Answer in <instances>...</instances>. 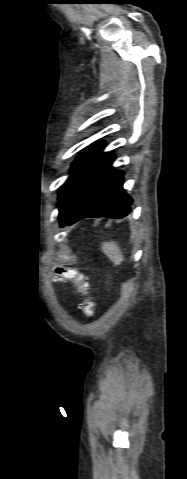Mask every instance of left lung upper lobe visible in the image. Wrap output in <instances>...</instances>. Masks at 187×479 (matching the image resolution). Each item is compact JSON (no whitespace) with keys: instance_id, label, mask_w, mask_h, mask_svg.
Listing matches in <instances>:
<instances>
[{"instance_id":"obj_1","label":"left lung upper lobe","mask_w":187,"mask_h":479,"mask_svg":"<svg viewBox=\"0 0 187 479\" xmlns=\"http://www.w3.org/2000/svg\"><path fill=\"white\" fill-rule=\"evenodd\" d=\"M103 146L99 143L94 144L89 148V150L79 155L71 167V176L69 177V182L63 185L59 191V198L66 194L75 180L81 175V173L92 163L94 162L99 155L102 154Z\"/></svg>"}]
</instances>
